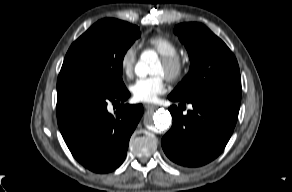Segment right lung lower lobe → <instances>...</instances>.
<instances>
[{"instance_id":"obj_1","label":"right lung lower lobe","mask_w":292,"mask_h":192,"mask_svg":"<svg viewBox=\"0 0 292 192\" xmlns=\"http://www.w3.org/2000/svg\"><path fill=\"white\" fill-rule=\"evenodd\" d=\"M130 93L104 92L82 84L57 86V120L60 132L74 158L96 173L113 171L124 161L129 139L143 107L124 102ZM120 104L114 114L107 105Z\"/></svg>"}]
</instances>
